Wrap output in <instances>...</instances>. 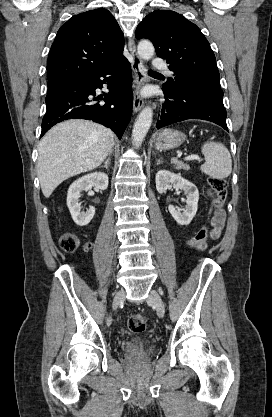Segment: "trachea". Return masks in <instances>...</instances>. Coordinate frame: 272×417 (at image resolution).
Listing matches in <instances>:
<instances>
[{"label":"trachea","instance_id":"trachea-1","mask_svg":"<svg viewBox=\"0 0 272 417\" xmlns=\"http://www.w3.org/2000/svg\"><path fill=\"white\" fill-rule=\"evenodd\" d=\"M149 73H156L155 71L149 70Z\"/></svg>","mask_w":272,"mask_h":417}]
</instances>
